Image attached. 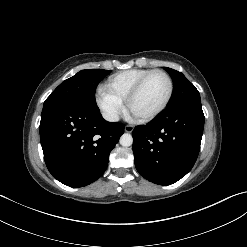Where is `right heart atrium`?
I'll use <instances>...</instances> for the list:
<instances>
[{
	"label": "right heart atrium",
	"instance_id": "obj_1",
	"mask_svg": "<svg viewBox=\"0 0 247 247\" xmlns=\"http://www.w3.org/2000/svg\"><path fill=\"white\" fill-rule=\"evenodd\" d=\"M96 101L105 118L112 122L117 121L124 110L123 102L104 87L98 90Z\"/></svg>",
	"mask_w": 247,
	"mask_h": 247
}]
</instances>
